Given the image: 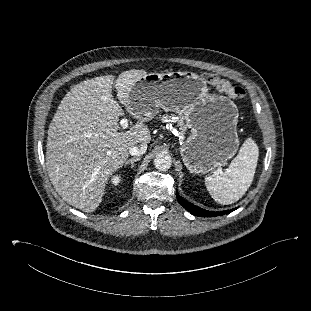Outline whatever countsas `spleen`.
Instances as JSON below:
<instances>
[{
  "instance_id": "1",
  "label": "spleen",
  "mask_w": 311,
  "mask_h": 311,
  "mask_svg": "<svg viewBox=\"0 0 311 311\" xmlns=\"http://www.w3.org/2000/svg\"><path fill=\"white\" fill-rule=\"evenodd\" d=\"M258 157L256 141L248 138L223 173L205 177V185L212 198L220 204H232L242 198L252 184Z\"/></svg>"
}]
</instances>
